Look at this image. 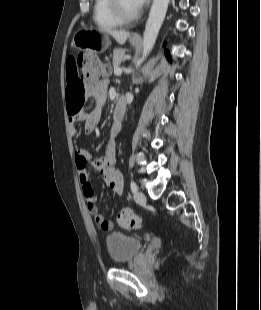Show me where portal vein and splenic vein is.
<instances>
[{
	"label": "portal vein and splenic vein",
	"instance_id": "1",
	"mask_svg": "<svg viewBox=\"0 0 261 310\" xmlns=\"http://www.w3.org/2000/svg\"><path fill=\"white\" fill-rule=\"evenodd\" d=\"M114 74H115L116 76H119V75L122 74V70H121L120 68L116 67V68L114 69Z\"/></svg>",
	"mask_w": 261,
	"mask_h": 310
}]
</instances>
